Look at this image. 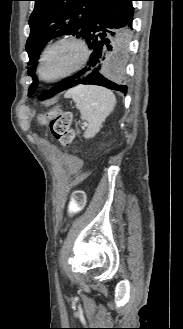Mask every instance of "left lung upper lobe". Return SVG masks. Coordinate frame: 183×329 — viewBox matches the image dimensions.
I'll return each instance as SVG.
<instances>
[{
    "instance_id": "left-lung-upper-lobe-1",
    "label": "left lung upper lobe",
    "mask_w": 183,
    "mask_h": 329,
    "mask_svg": "<svg viewBox=\"0 0 183 329\" xmlns=\"http://www.w3.org/2000/svg\"><path fill=\"white\" fill-rule=\"evenodd\" d=\"M35 8L29 18L30 36L26 43L29 55L28 74L33 78L31 96L38 85L37 60L43 47L53 38L72 35L84 38L99 10L111 0H34Z\"/></svg>"
}]
</instances>
